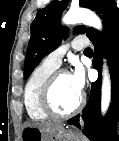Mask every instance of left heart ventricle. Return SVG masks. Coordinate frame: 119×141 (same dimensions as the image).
<instances>
[{"label":"left heart ventricle","instance_id":"obj_1","mask_svg":"<svg viewBox=\"0 0 119 141\" xmlns=\"http://www.w3.org/2000/svg\"><path fill=\"white\" fill-rule=\"evenodd\" d=\"M80 95L76 91L70 75H61L54 86L52 102L58 111L67 112L76 106Z\"/></svg>","mask_w":119,"mask_h":141}]
</instances>
